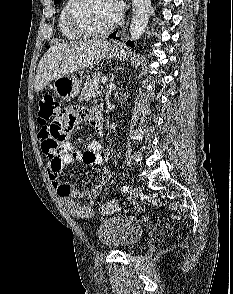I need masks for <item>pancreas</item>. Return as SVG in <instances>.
Masks as SVG:
<instances>
[{
    "label": "pancreas",
    "mask_w": 233,
    "mask_h": 294,
    "mask_svg": "<svg viewBox=\"0 0 233 294\" xmlns=\"http://www.w3.org/2000/svg\"><path fill=\"white\" fill-rule=\"evenodd\" d=\"M101 74H94L92 78H90L84 84L82 92L80 94L79 99L89 101L92 98H95L100 95L101 91L99 90L100 81H101Z\"/></svg>",
    "instance_id": "cf45deb5"
}]
</instances>
